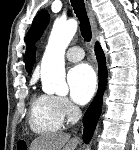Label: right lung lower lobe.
<instances>
[{"label":"right lung lower lobe","instance_id":"obj_1","mask_svg":"<svg viewBox=\"0 0 139 150\" xmlns=\"http://www.w3.org/2000/svg\"><path fill=\"white\" fill-rule=\"evenodd\" d=\"M95 53L97 57V61L99 64V90L95 100L90 105L89 109L87 110L84 118V132H83V140L85 143H88L93 135L95 130L97 121L101 114V107L103 102V93L106 87L107 81V69H106V62L103 50L99 43H96L95 46Z\"/></svg>","mask_w":139,"mask_h":150}]
</instances>
